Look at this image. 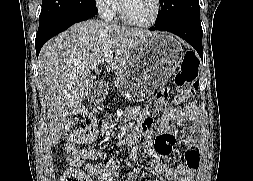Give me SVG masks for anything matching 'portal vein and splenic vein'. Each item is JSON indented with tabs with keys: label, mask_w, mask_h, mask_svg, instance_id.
<instances>
[{
	"label": "portal vein and splenic vein",
	"mask_w": 253,
	"mask_h": 181,
	"mask_svg": "<svg viewBox=\"0 0 253 181\" xmlns=\"http://www.w3.org/2000/svg\"><path fill=\"white\" fill-rule=\"evenodd\" d=\"M112 59H113V53H107V54H105L104 60H105L107 63L111 62Z\"/></svg>",
	"instance_id": "obj_1"
}]
</instances>
